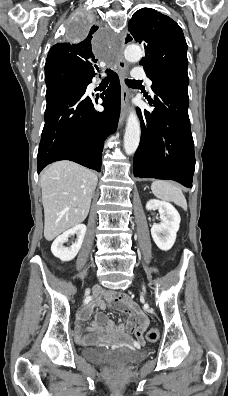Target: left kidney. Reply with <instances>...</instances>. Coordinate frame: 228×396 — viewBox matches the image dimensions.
<instances>
[{
    "instance_id": "left-kidney-1",
    "label": "left kidney",
    "mask_w": 228,
    "mask_h": 396,
    "mask_svg": "<svg viewBox=\"0 0 228 396\" xmlns=\"http://www.w3.org/2000/svg\"><path fill=\"white\" fill-rule=\"evenodd\" d=\"M146 209L149 211L158 209L162 223L153 224L151 235L159 249L170 250L175 243L180 226L181 218L178 211L172 204L159 200L148 201Z\"/></svg>"
}]
</instances>
